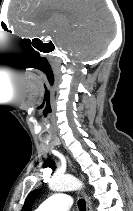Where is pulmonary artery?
Segmentation results:
<instances>
[{
    "label": "pulmonary artery",
    "instance_id": "e3ab8cb5",
    "mask_svg": "<svg viewBox=\"0 0 133 211\" xmlns=\"http://www.w3.org/2000/svg\"><path fill=\"white\" fill-rule=\"evenodd\" d=\"M72 205L71 197L65 193H56L46 199L35 211H68Z\"/></svg>",
    "mask_w": 133,
    "mask_h": 211
}]
</instances>
